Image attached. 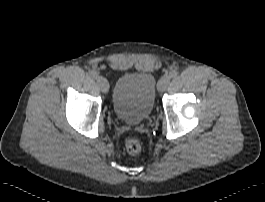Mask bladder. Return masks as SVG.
Returning <instances> with one entry per match:
<instances>
[{
    "mask_svg": "<svg viewBox=\"0 0 265 202\" xmlns=\"http://www.w3.org/2000/svg\"><path fill=\"white\" fill-rule=\"evenodd\" d=\"M157 89L158 81L147 72L121 75L112 96L114 113L128 124L143 122L153 110Z\"/></svg>",
    "mask_w": 265,
    "mask_h": 202,
    "instance_id": "31cf9c89",
    "label": "bladder"
}]
</instances>
